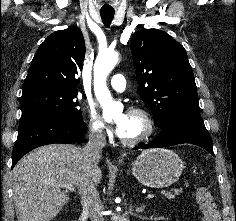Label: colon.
<instances>
[{"mask_svg":"<svg viewBox=\"0 0 236 221\" xmlns=\"http://www.w3.org/2000/svg\"><path fill=\"white\" fill-rule=\"evenodd\" d=\"M195 198L202 212V221H220L219 211L213 195L207 187H196Z\"/></svg>","mask_w":236,"mask_h":221,"instance_id":"1","label":"colon"}]
</instances>
